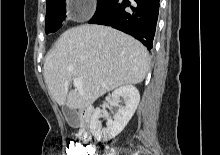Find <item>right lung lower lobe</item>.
<instances>
[{
	"instance_id": "right-lung-lower-lobe-1",
	"label": "right lung lower lobe",
	"mask_w": 220,
	"mask_h": 155,
	"mask_svg": "<svg viewBox=\"0 0 220 155\" xmlns=\"http://www.w3.org/2000/svg\"><path fill=\"white\" fill-rule=\"evenodd\" d=\"M159 13V0H114L94 15L90 23L112 26L153 47Z\"/></svg>"
}]
</instances>
